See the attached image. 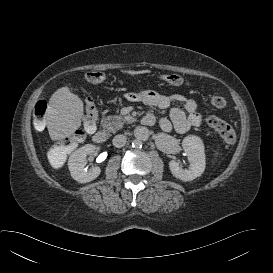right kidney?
Here are the masks:
<instances>
[{"label":"right kidney","instance_id":"right-kidney-1","mask_svg":"<svg viewBox=\"0 0 273 273\" xmlns=\"http://www.w3.org/2000/svg\"><path fill=\"white\" fill-rule=\"evenodd\" d=\"M98 149L92 144H86L83 147L74 151L68 160V168L74 180L79 183H87L96 179L101 169L99 167H92L89 170L85 169L87 164V155L92 154Z\"/></svg>","mask_w":273,"mask_h":273}]
</instances>
